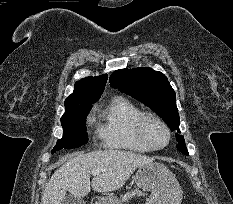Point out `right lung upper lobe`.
<instances>
[{
	"instance_id": "obj_1",
	"label": "right lung upper lobe",
	"mask_w": 233,
	"mask_h": 204,
	"mask_svg": "<svg viewBox=\"0 0 233 204\" xmlns=\"http://www.w3.org/2000/svg\"><path fill=\"white\" fill-rule=\"evenodd\" d=\"M108 75L87 77L75 83V89L65 100V109L89 106L95 103L104 91Z\"/></svg>"
}]
</instances>
